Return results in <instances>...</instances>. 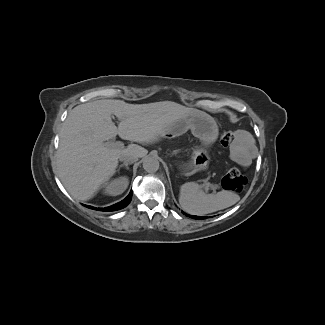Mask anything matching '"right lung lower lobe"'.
I'll return each instance as SVG.
<instances>
[{
  "instance_id": "right-lung-lower-lobe-1",
  "label": "right lung lower lobe",
  "mask_w": 325,
  "mask_h": 325,
  "mask_svg": "<svg viewBox=\"0 0 325 325\" xmlns=\"http://www.w3.org/2000/svg\"><path fill=\"white\" fill-rule=\"evenodd\" d=\"M131 199H132V191L122 201H120V202H118V203H116V204H114L112 206L106 207V208H94V207H90V206H87V205H85V206L88 207V208H91V209L99 210V211H116V210H119V209H122V208L126 207L130 203Z\"/></svg>"
}]
</instances>
